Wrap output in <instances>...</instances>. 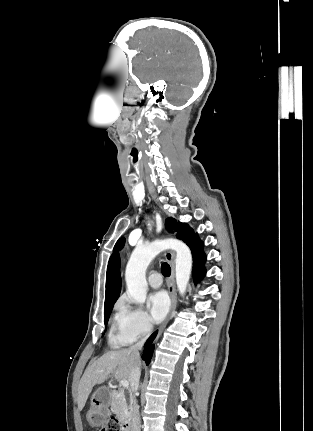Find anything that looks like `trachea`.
Instances as JSON below:
<instances>
[{
	"mask_svg": "<svg viewBox=\"0 0 313 431\" xmlns=\"http://www.w3.org/2000/svg\"><path fill=\"white\" fill-rule=\"evenodd\" d=\"M161 271H162V274L165 276V277H168V276H170V274H171V268H170V266L167 264V263H162L161 264Z\"/></svg>",
	"mask_w": 313,
	"mask_h": 431,
	"instance_id": "trachea-1",
	"label": "trachea"
}]
</instances>
